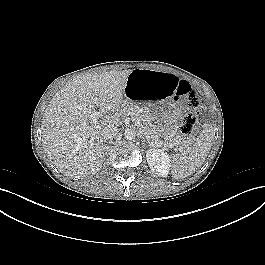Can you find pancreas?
<instances>
[{
    "label": "pancreas",
    "mask_w": 265,
    "mask_h": 265,
    "mask_svg": "<svg viewBox=\"0 0 265 265\" xmlns=\"http://www.w3.org/2000/svg\"><path fill=\"white\" fill-rule=\"evenodd\" d=\"M120 112L124 115H130L132 120L140 123V129L144 134L151 136L154 143H174L173 138L169 136L167 132H164L162 136L164 137V141L159 139V135L156 134V127L150 123L151 115L143 108H140L137 105L132 103L123 104Z\"/></svg>",
    "instance_id": "pancreas-1"
}]
</instances>
